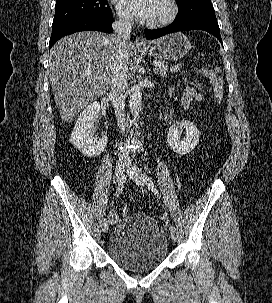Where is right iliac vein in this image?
Masks as SVG:
<instances>
[{
	"label": "right iliac vein",
	"instance_id": "right-iliac-vein-1",
	"mask_svg": "<svg viewBox=\"0 0 272 303\" xmlns=\"http://www.w3.org/2000/svg\"><path fill=\"white\" fill-rule=\"evenodd\" d=\"M125 167V160L123 158H120L117 162L116 169H115V175L116 180L119 182L123 178V172ZM110 225V221H104L102 230L103 232H107Z\"/></svg>",
	"mask_w": 272,
	"mask_h": 303
}]
</instances>
